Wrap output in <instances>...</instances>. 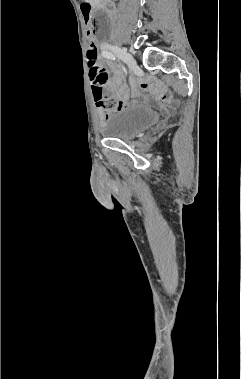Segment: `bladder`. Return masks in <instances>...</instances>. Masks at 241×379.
Listing matches in <instances>:
<instances>
[{"instance_id": "31cf9c89", "label": "bladder", "mask_w": 241, "mask_h": 379, "mask_svg": "<svg viewBox=\"0 0 241 379\" xmlns=\"http://www.w3.org/2000/svg\"><path fill=\"white\" fill-rule=\"evenodd\" d=\"M158 112L148 108H128L111 114L101 125V134L107 138L128 141L155 125Z\"/></svg>"}]
</instances>
